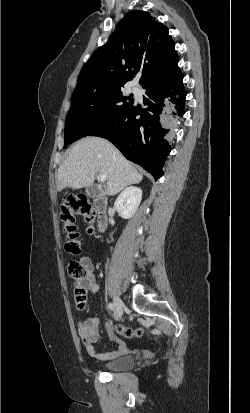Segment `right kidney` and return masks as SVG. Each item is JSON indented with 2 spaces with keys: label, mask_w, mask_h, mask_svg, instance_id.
<instances>
[{
  "label": "right kidney",
  "mask_w": 250,
  "mask_h": 413,
  "mask_svg": "<svg viewBox=\"0 0 250 413\" xmlns=\"http://www.w3.org/2000/svg\"><path fill=\"white\" fill-rule=\"evenodd\" d=\"M141 200L142 190L131 186L121 192L114 203V207L122 218L130 219L137 211Z\"/></svg>",
  "instance_id": "ca27d5eb"
}]
</instances>
